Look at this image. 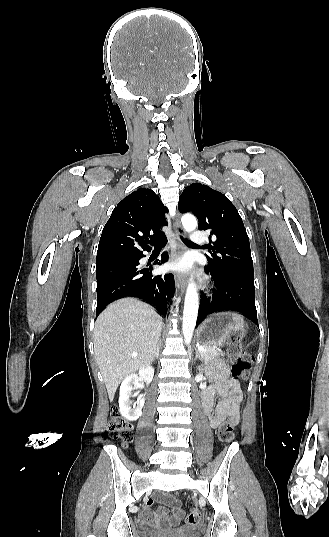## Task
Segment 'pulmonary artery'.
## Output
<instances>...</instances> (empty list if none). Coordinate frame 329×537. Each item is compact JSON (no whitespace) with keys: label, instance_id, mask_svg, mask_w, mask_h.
<instances>
[{"label":"pulmonary artery","instance_id":"e3ab8cb5","mask_svg":"<svg viewBox=\"0 0 329 537\" xmlns=\"http://www.w3.org/2000/svg\"><path fill=\"white\" fill-rule=\"evenodd\" d=\"M191 241L195 245H202L206 242V236L201 231H194L191 234Z\"/></svg>","mask_w":329,"mask_h":537}]
</instances>
